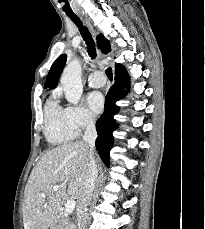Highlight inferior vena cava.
Here are the masks:
<instances>
[{
  "label": "inferior vena cava",
  "instance_id": "602c4592",
  "mask_svg": "<svg viewBox=\"0 0 205 229\" xmlns=\"http://www.w3.org/2000/svg\"><path fill=\"white\" fill-rule=\"evenodd\" d=\"M86 130L83 136V141L89 146V159L87 165L86 179L84 183V190L79 201L78 211V226L79 229H86V223L88 221L87 206L90 203L93 195L95 183L97 180V168L93 157V151L95 147V141L97 138V132L95 128V118L92 115L86 116Z\"/></svg>",
  "mask_w": 205,
  "mask_h": 229
}]
</instances>
